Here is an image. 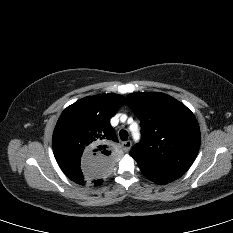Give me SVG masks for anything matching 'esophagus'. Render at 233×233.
Instances as JSON below:
<instances>
[{"mask_svg": "<svg viewBox=\"0 0 233 233\" xmlns=\"http://www.w3.org/2000/svg\"><path fill=\"white\" fill-rule=\"evenodd\" d=\"M131 146H132V142L130 140L122 143V147H123V150L125 152H128L130 150Z\"/></svg>", "mask_w": 233, "mask_h": 233, "instance_id": "1", "label": "esophagus"}]
</instances>
